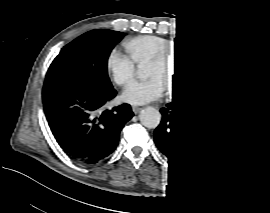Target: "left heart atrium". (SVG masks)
Masks as SVG:
<instances>
[{"instance_id": "1", "label": "left heart atrium", "mask_w": 270, "mask_h": 213, "mask_svg": "<svg viewBox=\"0 0 270 213\" xmlns=\"http://www.w3.org/2000/svg\"><path fill=\"white\" fill-rule=\"evenodd\" d=\"M162 93V86L157 79L137 81L129 85L124 91L128 101L149 102L156 100Z\"/></svg>"}]
</instances>
